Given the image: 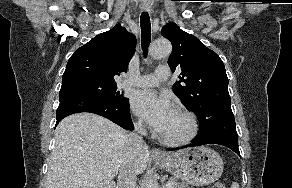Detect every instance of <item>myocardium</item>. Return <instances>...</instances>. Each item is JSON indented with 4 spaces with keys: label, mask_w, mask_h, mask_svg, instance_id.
Segmentation results:
<instances>
[{
    "label": "myocardium",
    "mask_w": 292,
    "mask_h": 188,
    "mask_svg": "<svg viewBox=\"0 0 292 188\" xmlns=\"http://www.w3.org/2000/svg\"><path fill=\"white\" fill-rule=\"evenodd\" d=\"M177 112L181 113L182 115H184L189 124H190V129L189 131L180 137H167L164 135L160 136V139L163 143L170 145V146H181V145H185L189 142H191L198 134L199 132V122L197 120V117L195 116V114L191 111H189L186 108L183 107H179L176 109Z\"/></svg>",
    "instance_id": "obj_1"
}]
</instances>
